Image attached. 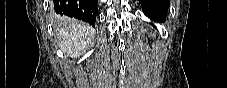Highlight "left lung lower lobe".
Returning <instances> with one entry per match:
<instances>
[{
	"mask_svg": "<svg viewBox=\"0 0 227 88\" xmlns=\"http://www.w3.org/2000/svg\"><path fill=\"white\" fill-rule=\"evenodd\" d=\"M146 16L156 22H164L170 0H139Z\"/></svg>",
	"mask_w": 227,
	"mask_h": 88,
	"instance_id": "left-lung-lower-lobe-1",
	"label": "left lung lower lobe"
}]
</instances>
